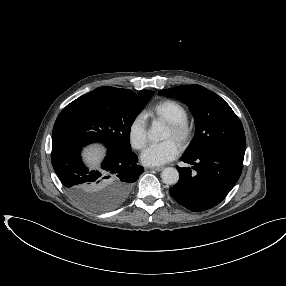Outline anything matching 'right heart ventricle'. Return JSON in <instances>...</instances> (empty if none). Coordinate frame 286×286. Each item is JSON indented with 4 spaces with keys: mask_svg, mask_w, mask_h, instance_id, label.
<instances>
[{
    "mask_svg": "<svg viewBox=\"0 0 286 286\" xmlns=\"http://www.w3.org/2000/svg\"><path fill=\"white\" fill-rule=\"evenodd\" d=\"M147 114L154 119H160L167 123L187 121V109L177 101L162 100L151 106Z\"/></svg>",
    "mask_w": 286,
    "mask_h": 286,
    "instance_id": "e07e8e85",
    "label": "right heart ventricle"
}]
</instances>
